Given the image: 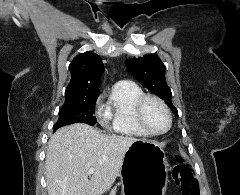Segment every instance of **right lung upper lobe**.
Segmentation results:
<instances>
[{"instance_id": "obj_1", "label": "right lung upper lobe", "mask_w": 240, "mask_h": 195, "mask_svg": "<svg viewBox=\"0 0 240 195\" xmlns=\"http://www.w3.org/2000/svg\"><path fill=\"white\" fill-rule=\"evenodd\" d=\"M71 80L66 88V99L98 97L103 63L97 54L87 51L75 57L70 66Z\"/></svg>"}]
</instances>
